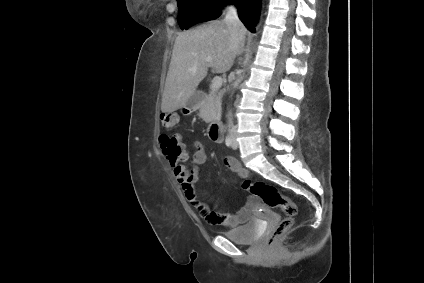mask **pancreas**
<instances>
[{
	"mask_svg": "<svg viewBox=\"0 0 424 283\" xmlns=\"http://www.w3.org/2000/svg\"><path fill=\"white\" fill-rule=\"evenodd\" d=\"M221 114V93L211 92L201 103L199 117L206 122H211Z\"/></svg>",
	"mask_w": 424,
	"mask_h": 283,
	"instance_id": "obj_1",
	"label": "pancreas"
}]
</instances>
